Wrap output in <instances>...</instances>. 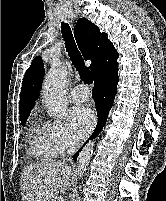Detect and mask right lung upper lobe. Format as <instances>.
I'll return each mask as SVG.
<instances>
[{
    "label": "right lung upper lobe",
    "mask_w": 166,
    "mask_h": 201,
    "mask_svg": "<svg viewBox=\"0 0 166 201\" xmlns=\"http://www.w3.org/2000/svg\"><path fill=\"white\" fill-rule=\"evenodd\" d=\"M74 36L78 47L86 60L91 59L90 69L93 78L106 65L116 63L119 57L108 35L86 18H80L74 29ZM44 75V65L37 56L25 72L20 94V118L29 116L38 98Z\"/></svg>",
    "instance_id": "obj_1"
}]
</instances>
